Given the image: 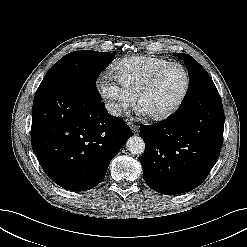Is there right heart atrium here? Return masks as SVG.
<instances>
[{"mask_svg":"<svg viewBox=\"0 0 247 247\" xmlns=\"http://www.w3.org/2000/svg\"><path fill=\"white\" fill-rule=\"evenodd\" d=\"M98 93L113 116H121L133 104V97L127 94L111 76L103 75L97 82Z\"/></svg>","mask_w":247,"mask_h":247,"instance_id":"right-heart-atrium-1","label":"right heart atrium"}]
</instances>
